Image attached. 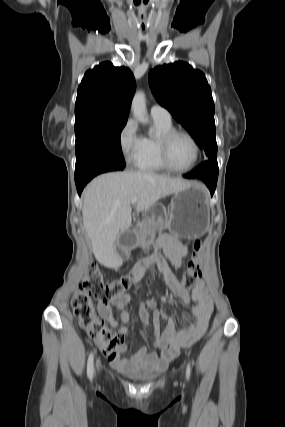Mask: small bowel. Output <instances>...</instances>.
Wrapping results in <instances>:
<instances>
[{
  "label": "small bowel",
  "mask_w": 285,
  "mask_h": 427,
  "mask_svg": "<svg viewBox=\"0 0 285 427\" xmlns=\"http://www.w3.org/2000/svg\"><path fill=\"white\" fill-rule=\"evenodd\" d=\"M157 246L163 251L165 256L175 267H181L183 258L188 254L186 245L173 234H162L157 239ZM150 262H157L162 272L165 282L171 292L177 296L183 303L194 302L192 315L194 321L189 323L187 329L178 330L175 320L162 312L155 300L147 299L139 304L138 312L143 324H149V312L153 311V334L151 342L157 351L150 352L146 347L139 348L136 352L127 356H118V353L125 354L127 346L122 343L118 348L116 356L110 357L109 361L115 367L125 371H160L164 370L170 361L176 358L183 348L191 347L206 332L209 319L213 311V303L208 294L206 285L199 281L189 295L186 289L182 287L179 281L169 270L165 259L158 253H154L134 264L130 269V279L133 285L138 284L144 275L146 266ZM133 301L131 295L122 293L115 295L111 304L119 311V319L114 318L109 304L98 303L100 315L108 324L117 329L119 335L124 338L128 335L129 329L125 325L129 320V314L125 310L127 304ZM160 319H166L167 324L163 331L160 330ZM190 316L183 318L184 322H189ZM103 350V349H102Z\"/></svg>",
  "instance_id": "obj_1"
}]
</instances>
